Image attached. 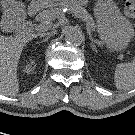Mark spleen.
<instances>
[{"instance_id":"spleen-1","label":"spleen","mask_w":135,"mask_h":135,"mask_svg":"<svg viewBox=\"0 0 135 135\" xmlns=\"http://www.w3.org/2000/svg\"><path fill=\"white\" fill-rule=\"evenodd\" d=\"M114 82L118 90H130L135 87V60L117 65Z\"/></svg>"}]
</instances>
